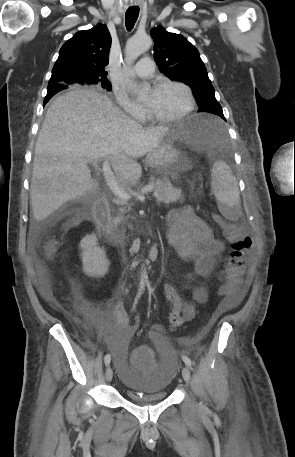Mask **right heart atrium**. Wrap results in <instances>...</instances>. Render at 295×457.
<instances>
[{"label":"right heart atrium","instance_id":"right-heart-atrium-1","mask_svg":"<svg viewBox=\"0 0 295 457\" xmlns=\"http://www.w3.org/2000/svg\"><path fill=\"white\" fill-rule=\"evenodd\" d=\"M113 93L116 102L129 116L136 120H142L144 118V108L132 101L123 89L114 88Z\"/></svg>","mask_w":295,"mask_h":457}]
</instances>
